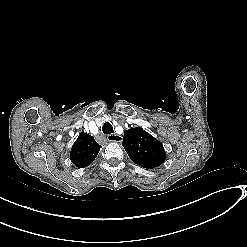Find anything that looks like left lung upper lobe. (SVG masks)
<instances>
[{
	"instance_id": "5c2ea615",
	"label": "left lung upper lobe",
	"mask_w": 247,
	"mask_h": 247,
	"mask_svg": "<svg viewBox=\"0 0 247 247\" xmlns=\"http://www.w3.org/2000/svg\"><path fill=\"white\" fill-rule=\"evenodd\" d=\"M122 145L130 159L143 168L158 167L165 160L163 144L142 128L125 131Z\"/></svg>"
}]
</instances>
